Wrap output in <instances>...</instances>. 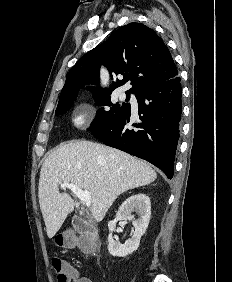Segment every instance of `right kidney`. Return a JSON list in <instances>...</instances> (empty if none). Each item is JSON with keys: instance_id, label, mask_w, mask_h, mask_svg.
<instances>
[{"instance_id": "1", "label": "right kidney", "mask_w": 232, "mask_h": 282, "mask_svg": "<svg viewBox=\"0 0 232 282\" xmlns=\"http://www.w3.org/2000/svg\"><path fill=\"white\" fill-rule=\"evenodd\" d=\"M132 212L138 214V219H134L131 215ZM151 216V203L150 198L139 193L126 199L120 206L116 218L108 222L109 235H108V251L113 256L125 257L138 249L140 239L145 233ZM130 220L135 228L133 236L128 239L124 244L115 241L112 237V232L116 227L117 221Z\"/></svg>"}]
</instances>
